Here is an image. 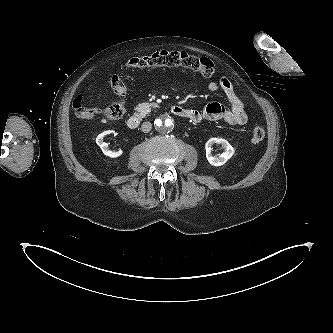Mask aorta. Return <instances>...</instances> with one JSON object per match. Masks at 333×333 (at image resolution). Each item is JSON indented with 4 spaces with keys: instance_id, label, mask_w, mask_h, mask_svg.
I'll use <instances>...</instances> for the list:
<instances>
[{
    "instance_id": "762f6f07",
    "label": "aorta",
    "mask_w": 333,
    "mask_h": 333,
    "mask_svg": "<svg viewBox=\"0 0 333 333\" xmlns=\"http://www.w3.org/2000/svg\"><path fill=\"white\" fill-rule=\"evenodd\" d=\"M157 130L166 133L172 127V120L168 117H162L156 121Z\"/></svg>"
}]
</instances>
